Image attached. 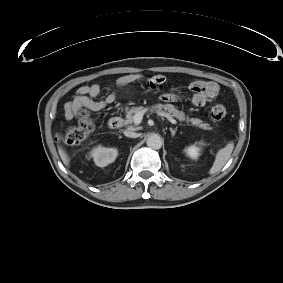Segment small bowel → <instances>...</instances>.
<instances>
[{
    "mask_svg": "<svg viewBox=\"0 0 283 283\" xmlns=\"http://www.w3.org/2000/svg\"><path fill=\"white\" fill-rule=\"evenodd\" d=\"M143 75L139 73L126 74L121 76L117 82L116 87L111 90L103 99L98 100L97 96L100 93L99 84L93 83L80 86L74 97L64 105V116L67 120L77 117L79 111L83 108L99 111L106 106L115 102L117 97V90L133 85L143 79ZM165 81L163 76H154L149 80L152 86H159ZM193 91L192 104L196 107H202L207 102L212 101L218 94L219 85L216 82L208 81H194L190 84ZM162 100L166 103L178 100V96L173 93H166L162 95Z\"/></svg>",
    "mask_w": 283,
    "mask_h": 283,
    "instance_id": "c3829d8e",
    "label": "small bowel"
}]
</instances>
